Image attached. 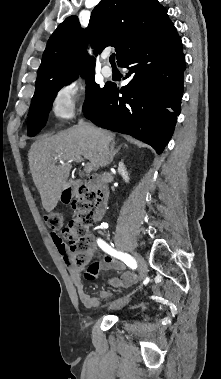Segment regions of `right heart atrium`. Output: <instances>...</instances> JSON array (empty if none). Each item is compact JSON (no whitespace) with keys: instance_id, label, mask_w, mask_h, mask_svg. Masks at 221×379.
Listing matches in <instances>:
<instances>
[{"instance_id":"obj_1","label":"right heart atrium","mask_w":221,"mask_h":379,"mask_svg":"<svg viewBox=\"0 0 221 379\" xmlns=\"http://www.w3.org/2000/svg\"><path fill=\"white\" fill-rule=\"evenodd\" d=\"M86 96L85 85L69 79L61 84L54 92L51 107L54 115L61 120L71 119L76 111L84 106Z\"/></svg>"}]
</instances>
